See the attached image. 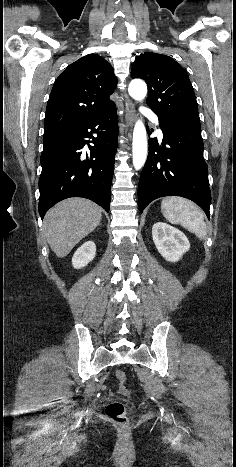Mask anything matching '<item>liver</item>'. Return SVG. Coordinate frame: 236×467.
Segmentation results:
<instances>
[{
    "instance_id": "1",
    "label": "liver",
    "mask_w": 236,
    "mask_h": 467,
    "mask_svg": "<svg viewBox=\"0 0 236 467\" xmlns=\"http://www.w3.org/2000/svg\"><path fill=\"white\" fill-rule=\"evenodd\" d=\"M101 218L102 209L94 202L69 198L46 213L43 231L52 251L63 258L100 224Z\"/></svg>"
}]
</instances>
